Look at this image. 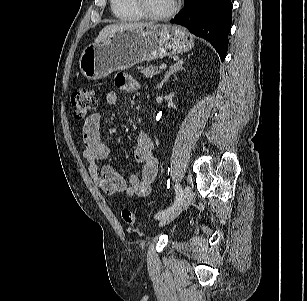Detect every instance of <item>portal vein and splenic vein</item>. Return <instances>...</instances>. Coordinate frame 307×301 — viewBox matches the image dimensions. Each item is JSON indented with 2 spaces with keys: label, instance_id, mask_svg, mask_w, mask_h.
I'll use <instances>...</instances> for the list:
<instances>
[{
  "label": "portal vein and splenic vein",
  "instance_id": "obj_1",
  "mask_svg": "<svg viewBox=\"0 0 307 301\" xmlns=\"http://www.w3.org/2000/svg\"><path fill=\"white\" fill-rule=\"evenodd\" d=\"M166 67H167V65H166V64H162V65H160V67H159V68H160L161 70H163V69H166Z\"/></svg>",
  "mask_w": 307,
  "mask_h": 301
}]
</instances>
